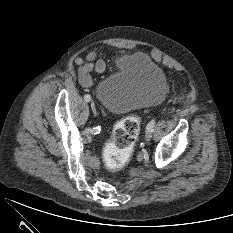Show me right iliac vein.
<instances>
[{
  "label": "right iliac vein",
  "instance_id": "1",
  "mask_svg": "<svg viewBox=\"0 0 233 233\" xmlns=\"http://www.w3.org/2000/svg\"><path fill=\"white\" fill-rule=\"evenodd\" d=\"M90 105H91V109L93 111V114L96 116L97 115V109H96V106H95L94 102H91Z\"/></svg>",
  "mask_w": 233,
  "mask_h": 233
}]
</instances>
